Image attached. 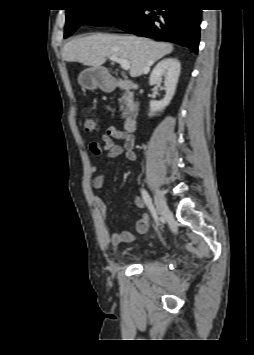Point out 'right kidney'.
<instances>
[{
	"mask_svg": "<svg viewBox=\"0 0 254 355\" xmlns=\"http://www.w3.org/2000/svg\"><path fill=\"white\" fill-rule=\"evenodd\" d=\"M180 70L181 64L176 58L163 59L154 67L150 75L149 83L150 85L160 84L162 82V77H164L166 95L161 101H150L149 116L162 111L170 103L175 94Z\"/></svg>",
	"mask_w": 254,
	"mask_h": 355,
	"instance_id": "right-kidney-1",
	"label": "right kidney"
}]
</instances>
